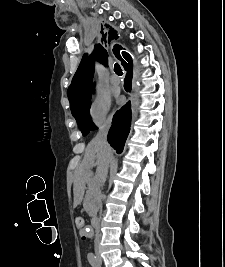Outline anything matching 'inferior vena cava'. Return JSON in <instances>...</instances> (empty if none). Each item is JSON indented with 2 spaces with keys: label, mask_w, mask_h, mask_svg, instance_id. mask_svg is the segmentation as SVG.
I'll return each mask as SVG.
<instances>
[{
  "label": "inferior vena cava",
  "mask_w": 225,
  "mask_h": 267,
  "mask_svg": "<svg viewBox=\"0 0 225 267\" xmlns=\"http://www.w3.org/2000/svg\"><path fill=\"white\" fill-rule=\"evenodd\" d=\"M110 128V121L106 122L99 130V132L97 133L96 137H95V141L101 146V148L103 149V151L105 152L108 161L111 157V149L110 146L107 142V135H108V131ZM107 173H108V162L107 164L103 167V169L97 174L95 180H96V191H97V204L98 207L101 209L102 208V200H101V191H100V187L103 186V184L106 181L107 178ZM99 244V234H96V238H95V246H97Z\"/></svg>",
  "instance_id": "inferior-vena-cava-1"
}]
</instances>
